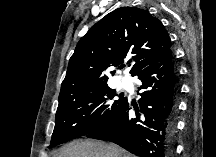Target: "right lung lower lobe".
<instances>
[{"mask_svg":"<svg viewBox=\"0 0 216 157\" xmlns=\"http://www.w3.org/2000/svg\"><path fill=\"white\" fill-rule=\"evenodd\" d=\"M142 82L140 112L130 114L126 99L107 124L86 135L111 141L139 157H172L176 134L179 86L171 50L137 75Z\"/></svg>","mask_w":216,"mask_h":157,"instance_id":"1","label":"right lung lower lobe"}]
</instances>
